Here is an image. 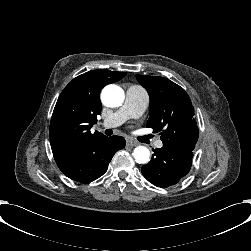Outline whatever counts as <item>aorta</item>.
<instances>
[{
  "instance_id": "aorta-1",
  "label": "aorta",
  "mask_w": 251,
  "mask_h": 251,
  "mask_svg": "<svg viewBox=\"0 0 251 251\" xmlns=\"http://www.w3.org/2000/svg\"><path fill=\"white\" fill-rule=\"evenodd\" d=\"M124 99V90L115 84L105 86L101 92L102 103L109 107L121 106ZM132 154L138 164H146L150 160V151L145 146H137Z\"/></svg>"
}]
</instances>
